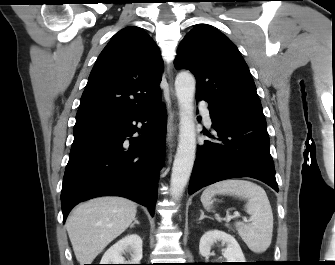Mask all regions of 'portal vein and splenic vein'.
<instances>
[{
	"instance_id": "obj_1",
	"label": "portal vein and splenic vein",
	"mask_w": 335,
	"mask_h": 265,
	"mask_svg": "<svg viewBox=\"0 0 335 265\" xmlns=\"http://www.w3.org/2000/svg\"><path fill=\"white\" fill-rule=\"evenodd\" d=\"M238 216H239L238 213H237V214H234L233 216H228V217H227V221L231 220L233 217H238ZM244 221H245V222H249L250 220H247V219L245 218Z\"/></svg>"
}]
</instances>
